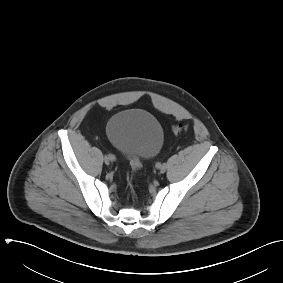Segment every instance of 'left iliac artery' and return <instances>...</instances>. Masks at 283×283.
I'll return each instance as SVG.
<instances>
[{
	"instance_id": "left-iliac-artery-1",
	"label": "left iliac artery",
	"mask_w": 283,
	"mask_h": 283,
	"mask_svg": "<svg viewBox=\"0 0 283 283\" xmlns=\"http://www.w3.org/2000/svg\"><path fill=\"white\" fill-rule=\"evenodd\" d=\"M160 165H161V163H159V162L156 164L157 167H159ZM164 165H165V164H164Z\"/></svg>"
}]
</instances>
